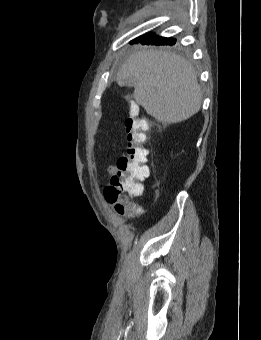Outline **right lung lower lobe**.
<instances>
[{"label": "right lung lower lobe", "mask_w": 261, "mask_h": 340, "mask_svg": "<svg viewBox=\"0 0 261 340\" xmlns=\"http://www.w3.org/2000/svg\"><path fill=\"white\" fill-rule=\"evenodd\" d=\"M169 40L170 38L160 37L154 35L153 33H149L134 39L130 43L133 44L141 42L142 44L165 45L168 43Z\"/></svg>", "instance_id": "obj_1"}]
</instances>
